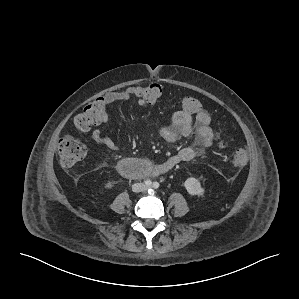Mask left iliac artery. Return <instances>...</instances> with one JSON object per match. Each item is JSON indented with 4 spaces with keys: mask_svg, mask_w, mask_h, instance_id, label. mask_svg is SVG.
I'll list each match as a JSON object with an SVG mask.
<instances>
[{
    "mask_svg": "<svg viewBox=\"0 0 299 299\" xmlns=\"http://www.w3.org/2000/svg\"><path fill=\"white\" fill-rule=\"evenodd\" d=\"M159 186H160V184H159L158 182H154V183H153V187H154L155 189L159 188Z\"/></svg>",
    "mask_w": 299,
    "mask_h": 299,
    "instance_id": "44dca946",
    "label": "left iliac artery"
}]
</instances>
